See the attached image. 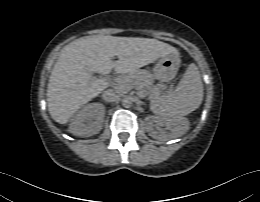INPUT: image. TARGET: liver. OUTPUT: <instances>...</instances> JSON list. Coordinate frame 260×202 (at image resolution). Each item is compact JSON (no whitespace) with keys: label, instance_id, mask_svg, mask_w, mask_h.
I'll list each match as a JSON object with an SVG mask.
<instances>
[{"label":"liver","instance_id":"liver-1","mask_svg":"<svg viewBox=\"0 0 260 202\" xmlns=\"http://www.w3.org/2000/svg\"><path fill=\"white\" fill-rule=\"evenodd\" d=\"M176 49L156 39L114 36H86L61 51L50 75L47 102L51 117L66 124L85 103L108 86L93 72L108 74L112 69L125 74L152 63ZM114 56L118 57L113 61Z\"/></svg>","mask_w":260,"mask_h":202}]
</instances>
